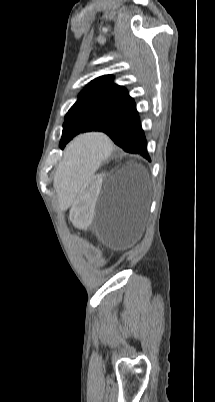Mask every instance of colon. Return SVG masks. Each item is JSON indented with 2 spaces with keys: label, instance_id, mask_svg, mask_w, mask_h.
I'll return each mask as SVG.
<instances>
[{
  "label": "colon",
  "instance_id": "5ec220e1",
  "mask_svg": "<svg viewBox=\"0 0 215 402\" xmlns=\"http://www.w3.org/2000/svg\"><path fill=\"white\" fill-rule=\"evenodd\" d=\"M71 243H78L76 248L82 252V258H89V260H104V251H94L95 244L89 243L88 239H82L81 236H71L68 238Z\"/></svg>",
  "mask_w": 215,
  "mask_h": 402
}]
</instances>
